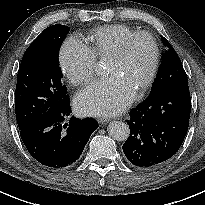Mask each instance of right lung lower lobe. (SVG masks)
I'll return each mask as SVG.
<instances>
[{
	"label": "right lung lower lobe",
	"instance_id": "98d812e1",
	"mask_svg": "<svg viewBox=\"0 0 205 205\" xmlns=\"http://www.w3.org/2000/svg\"><path fill=\"white\" fill-rule=\"evenodd\" d=\"M71 113L69 101L52 107L20 129V136L28 152L49 169L72 166L80 157L91 134L98 128L92 118L64 119Z\"/></svg>",
	"mask_w": 205,
	"mask_h": 205
}]
</instances>
